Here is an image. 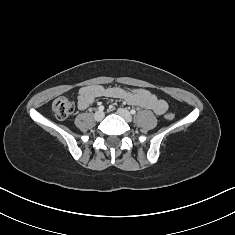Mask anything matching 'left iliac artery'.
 Listing matches in <instances>:
<instances>
[{"mask_svg": "<svg viewBox=\"0 0 235 235\" xmlns=\"http://www.w3.org/2000/svg\"><path fill=\"white\" fill-rule=\"evenodd\" d=\"M130 113H131L132 115H134V114H136V110H135V109H132V110L130 111Z\"/></svg>", "mask_w": 235, "mask_h": 235, "instance_id": "1", "label": "left iliac artery"}]
</instances>
